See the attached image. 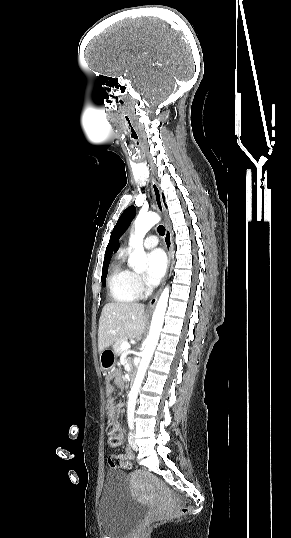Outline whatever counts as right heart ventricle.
Masks as SVG:
<instances>
[{
	"instance_id": "right-heart-ventricle-1",
	"label": "right heart ventricle",
	"mask_w": 291,
	"mask_h": 538,
	"mask_svg": "<svg viewBox=\"0 0 291 538\" xmlns=\"http://www.w3.org/2000/svg\"><path fill=\"white\" fill-rule=\"evenodd\" d=\"M108 289L116 303H130L138 299L140 288L135 273L125 264V253L117 255L111 265Z\"/></svg>"
}]
</instances>
